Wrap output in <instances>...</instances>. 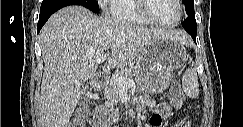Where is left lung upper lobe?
<instances>
[{
	"mask_svg": "<svg viewBox=\"0 0 243 127\" xmlns=\"http://www.w3.org/2000/svg\"><path fill=\"white\" fill-rule=\"evenodd\" d=\"M183 3L186 6V13L188 14V17L184 20L183 25L188 27H196L194 0H183Z\"/></svg>",
	"mask_w": 243,
	"mask_h": 127,
	"instance_id": "5c2ea615",
	"label": "left lung upper lobe"
}]
</instances>
